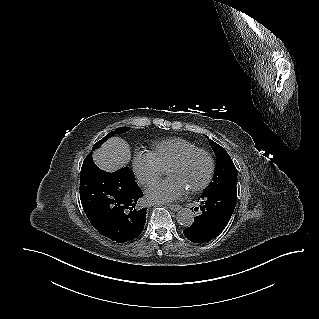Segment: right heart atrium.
I'll use <instances>...</instances> for the list:
<instances>
[{
	"instance_id": "d8ad5b80",
	"label": "right heart atrium",
	"mask_w": 319,
	"mask_h": 319,
	"mask_svg": "<svg viewBox=\"0 0 319 319\" xmlns=\"http://www.w3.org/2000/svg\"><path fill=\"white\" fill-rule=\"evenodd\" d=\"M132 167L137 181L143 186L153 184L164 173V169L156 162L150 152H136Z\"/></svg>"
}]
</instances>
